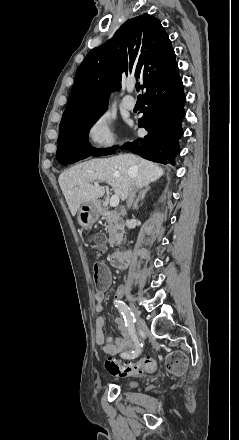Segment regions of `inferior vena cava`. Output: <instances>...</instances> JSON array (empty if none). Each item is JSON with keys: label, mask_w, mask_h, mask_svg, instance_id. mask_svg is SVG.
<instances>
[{"label": "inferior vena cava", "mask_w": 239, "mask_h": 440, "mask_svg": "<svg viewBox=\"0 0 239 440\" xmlns=\"http://www.w3.org/2000/svg\"><path fill=\"white\" fill-rule=\"evenodd\" d=\"M135 194H136V188L132 186V188H130L129 190V196L127 198V208H131V204L135 198Z\"/></svg>", "instance_id": "obj_1"}]
</instances>
